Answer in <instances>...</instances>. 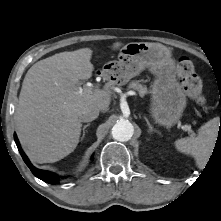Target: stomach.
Wrapping results in <instances>:
<instances>
[{"label": "stomach", "mask_w": 221, "mask_h": 221, "mask_svg": "<svg viewBox=\"0 0 221 221\" xmlns=\"http://www.w3.org/2000/svg\"><path fill=\"white\" fill-rule=\"evenodd\" d=\"M144 69L155 76L151 84L150 111L155 121L171 127L186 107V94L174 76L175 60L169 48L159 43L132 42L121 48L118 60L104 65L110 81L127 83Z\"/></svg>", "instance_id": "stomach-1"}]
</instances>
